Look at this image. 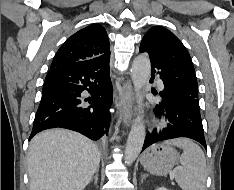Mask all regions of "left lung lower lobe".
<instances>
[{
	"instance_id": "0a47b994",
	"label": "left lung lower lobe",
	"mask_w": 234,
	"mask_h": 190,
	"mask_svg": "<svg viewBox=\"0 0 234 190\" xmlns=\"http://www.w3.org/2000/svg\"><path fill=\"white\" fill-rule=\"evenodd\" d=\"M150 60L151 75L159 74L165 86L164 90L158 94L161 103L156 106L154 111L160 117L164 115L170 123L162 132L157 133L154 129L152 133H148L142 151L158 141L178 137L194 139L206 148L200 109L190 104L185 97L170 89L162 65L157 60L151 58ZM152 93L157 94L156 91H152Z\"/></svg>"
}]
</instances>
